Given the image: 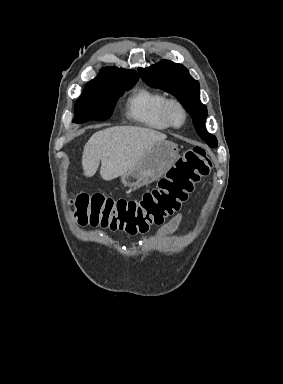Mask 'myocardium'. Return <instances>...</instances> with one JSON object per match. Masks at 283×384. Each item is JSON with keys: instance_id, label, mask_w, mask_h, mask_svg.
Segmentation results:
<instances>
[{"instance_id": "obj_1", "label": "myocardium", "mask_w": 283, "mask_h": 384, "mask_svg": "<svg viewBox=\"0 0 283 384\" xmlns=\"http://www.w3.org/2000/svg\"><path fill=\"white\" fill-rule=\"evenodd\" d=\"M173 108H178L181 111V113L183 115V120H182L181 124H175L173 122L172 117H171V111ZM162 117H163L165 123L169 127L174 128V129H178V128H181L185 125V123L188 119V113H187L185 106L182 104L181 101H179L176 98H168L165 101L163 108H162Z\"/></svg>"}]
</instances>
